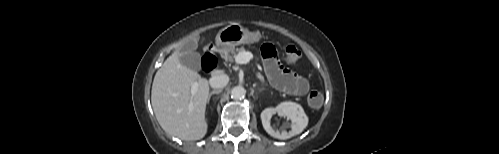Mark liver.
<instances>
[{"label":"liver","instance_id":"1","mask_svg":"<svg viewBox=\"0 0 499 154\" xmlns=\"http://www.w3.org/2000/svg\"><path fill=\"white\" fill-rule=\"evenodd\" d=\"M180 52L170 55L156 72L151 91L153 111L162 129L185 141H195L207 133L205 109L208 80L181 64ZM193 84L197 85L194 94Z\"/></svg>","mask_w":499,"mask_h":154}]
</instances>
